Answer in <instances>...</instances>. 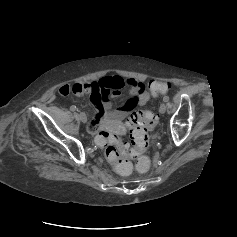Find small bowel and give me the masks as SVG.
<instances>
[{
  "mask_svg": "<svg viewBox=\"0 0 237 237\" xmlns=\"http://www.w3.org/2000/svg\"><path fill=\"white\" fill-rule=\"evenodd\" d=\"M125 85L129 87L131 98L121 107L113 109L108 98L118 97ZM59 93L63 96L69 94L90 96L95 106V115L88 126L91 134L103 128H117L132 110L145 105L151 97L144 82L120 76L103 77L94 82L65 84L59 88Z\"/></svg>",
  "mask_w": 237,
  "mask_h": 237,
  "instance_id": "small-bowel-1",
  "label": "small bowel"
}]
</instances>
